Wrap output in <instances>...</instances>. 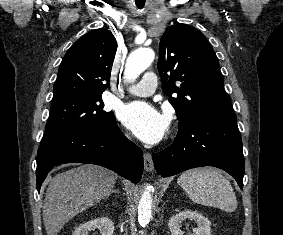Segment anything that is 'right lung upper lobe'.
Here are the masks:
<instances>
[{
    "label": "right lung upper lobe",
    "instance_id": "1",
    "mask_svg": "<svg viewBox=\"0 0 283 235\" xmlns=\"http://www.w3.org/2000/svg\"><path fill=\"white\" fill-rule=\"evenodd\" d=\"M116 49V39L106 29L92 30L78 39L60 64L52 103L71 97L102 96L110 87Z\"/></svg>",
    "mask_w": 283,
    "mask_h": 235
}]
</instances>
